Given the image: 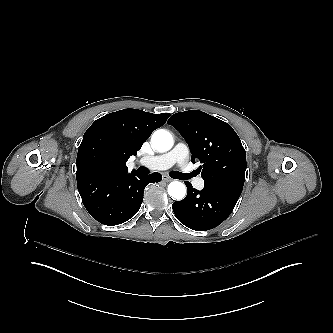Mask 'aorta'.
I'll return each instance as SVG.
<instances>
[{"label":"aorta","mask_w":333,"mask_h":333,"mask_svg":"<svg viewBox=\"0 0 333 333\" xmlns=\"http://www.w3.org/2000/svg\"><path fill=\"white\" fill-rule=\"evenodd\" d=\"M151 142L153 148L161 153L169 151L173 146L171 134L164 129L156 130L152 135ZM168 194L177 200H181L185 197L186 187L182 182L173 181L168 185Z\"/></svg>","instance_id":"aorta-1"}]
</instances>
